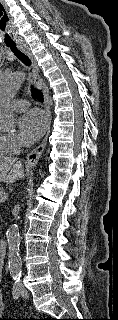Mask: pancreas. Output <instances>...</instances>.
<instances>
[{"mask_svg":"<svg viewBox=\"0 0 118 320\" xmlns=\"http://www.w3.org/2000/svg\"><path fill=\"white\" fill-rule=\"evenodd\" d=\"M4 191V188L0 187V192H3Z\"/></svg>","mask_w":118,"mask_h":320,"instance_id":"pancreas-1","label":"pancreas"}]
</instances>
